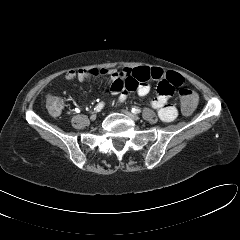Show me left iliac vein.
Wrapping results in <instances>:
<instances>
[{
	"instance_id": "left-iliac-vein-1",
	"label": "left iliac vein",
	"mask_w": 240,
	"mask_h": 240,
	"mask_svg": "<svg viewBox=\"0 0 240 240\" xmlns=\"http://www.w3.org/2000/svg\"><path fill=\"white\" fill-rule=\"evenodd\" d=\"M122 112H123L124 114H126L129 118H131V119L134 120V121H137V120L140 119L138 115L133 114V113H131V112H129V111L122 110Z\"/></svg>"
}]
</instances>
